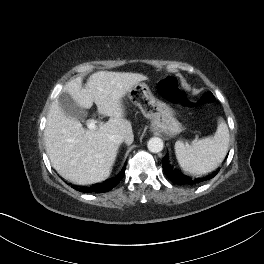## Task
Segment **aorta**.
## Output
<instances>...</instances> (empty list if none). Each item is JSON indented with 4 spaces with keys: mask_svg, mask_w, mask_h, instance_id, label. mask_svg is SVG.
Masks as SVG:
<instances>
[{
    "mask_svg": "<svg viewBox=\"0 0 264 264\" xmlns=\"http://www.w3.org/2000/svg\"><path fill=\"white\" fill-rule=\"evenodd\" d=\"M148 150L152 153H158L163 150L164 143L159 137H153L148 141Z\"/></svg>",
    "mask_w": 264,
    "mask_h": 264,
    "instance_id": "1",
    "label": "aorta"
}]
</instances>
